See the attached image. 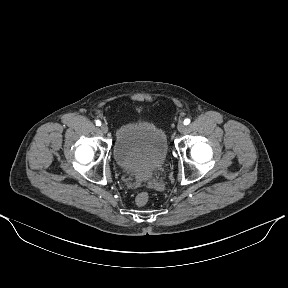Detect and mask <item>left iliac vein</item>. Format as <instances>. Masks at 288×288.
Segmentation results:
<instances>
[{"label":"left iliac vein","mask_w":288,"mask_h":288,"mask_svg":"<svg viewBox=\"0 0 288 288\" xmlns=\"http://www.w3.org/2000/svg\"><path fill=\"white\" fill-rule=\"evenodd\" d=\"M177 129L179 132H183L184 129H185V124L183 122H179L178 125H177Z\"/></svg>","instance_id":"obj_1"}]
</instances>
